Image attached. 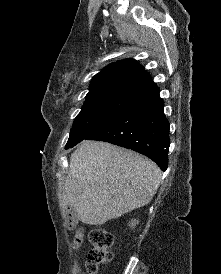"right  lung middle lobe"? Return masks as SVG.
<instances>
[{"label":"right lung middle lobe","instance_id":"right-lung-middle-lobe-1","mask_svg":"<svg viewBox=\"0 0 221 274\" xmlns=\"http://www.w3.org/2000/svg\"><path fill=\"white\" fill-rule=\"evenodd\" d=\"M132 102V100L122 98L86 99L82 110L74 120L66 149L72 148L84 139H88L112 121Z\"/></svg>","mask_w":221,"mask_h":274}]
</instances>
